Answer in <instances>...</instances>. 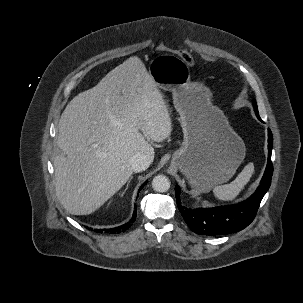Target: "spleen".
<instances>
[{"mask_svg":"<svg viewBox=\"0 0 303 303\" xmlns=\"http://www.w3.org/2000/svg\"><path fill=\"white\" fill-rule=\"evenodd\" d=\"M254 172V164L249 163L241 173L230 184L216 186L213 189L214 195L221 201H232L244 189Z\"/></svg>","mask_w":303,"mask_h":303,"instance_id":"obj_1","label":"spleen"}]
</instances>
